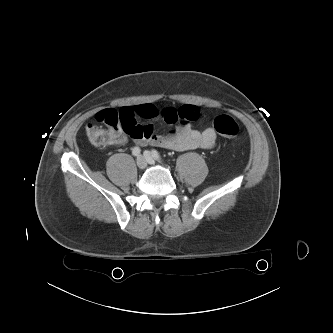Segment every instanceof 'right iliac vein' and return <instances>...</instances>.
<instances>
[{"label": "right iliac vein", "instance_id": "63e3f726", "mask_svg": "<svg viewBox=\"0 0 333 333\" xmlns=\"http://www.w3.org/2000/svg\"><path fill=\"white\" fill-rule=\"evenodd\" d=\"M136 162L139 169H145L147 167V159L145 156H138Z\"/></svg>", "mask_w": 333, "mask_h": 333}]
</instances>
